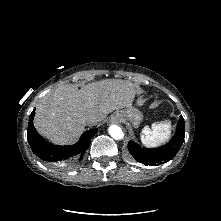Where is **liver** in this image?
Here are the masks:
<instances>
[{
	"mask_svg": "<svg viewBox=\"0 0 221 221\" xmlns=\"http://www.w3.org/2000/svg\"><path fill=\"white\" fill-rule=\"evenodd\" d=\"M136 87L120 79L92 82L81 89L61 85L38 102L34 126L53 143H72L84 131L87 118L97 124L112 111L130 107Z\"/></svg>",
	"mask_w": 221,
	"mask_h": 221,
	"instance_id": "obj_1",
	"label": "liver"
}]
</instances>
